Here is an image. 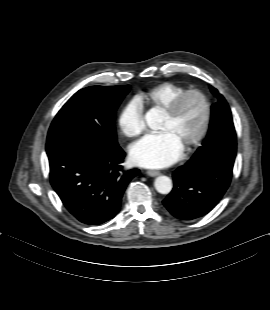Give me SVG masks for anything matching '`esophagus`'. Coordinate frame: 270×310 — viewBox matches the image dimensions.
<instances>
[{"label": "esophagus", "mask_w": 270, "mask_h": 310, "mask_svg": "<svg viewBox=\"0 0 270 310\" xmlns=\"http://www.w3.org/2000/svg\"><path fill=\"white\" fill-rule=\"evenodd\" d=\"M146 174H147L148 176H151V177H156V176L160 175V172H159V171H156V170H148V171L146 172Z\"/></svg>", "instance_id": "esophagus-1"}]
</instances>
